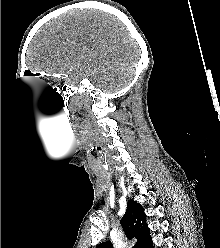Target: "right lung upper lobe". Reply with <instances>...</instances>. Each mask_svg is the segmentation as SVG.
<instances>
[{
  "label": "right lung upper lobe",
  "instance_id": "cb5924a9",
  "mask_svg": "<svg viewBox=\"0 0 220 248\" xmlns=\"http://www.w3.org/2000/svg\"><path fill=\"white\" fill-rule=\"evenodd\" d=\"M121 225L129 240L137 239L133 248H148L152 243L144 208L136 201L132 199L128 201L126 212L121 219ZM97 248H113V245L110 241H107L98 245Z\"/></svg>",
  "mask_w": 220,
  "mask_h": 248
}]
</instances>
